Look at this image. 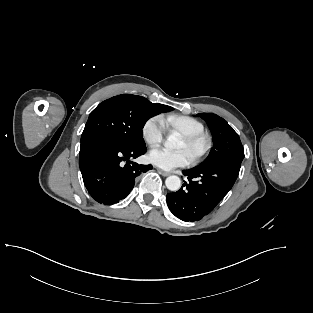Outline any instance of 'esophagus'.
<instances>
[{
  "instance_id": "esophagus-1",
  "label": "esophagus",
  "mask_w": 313,
  "mask_h": 313,
  "mask_svg": "<svg viewBox=\"0 0 313 313\" xmlns=\"http://www.w3.org/2000/svg\"><path fill=\"white\" fill-rule=\"evenodd\" d=\"M158 172L162 175V176H169L171 173H169V172H166V171H163V170H160V169H158Z\"/></svg>"
}]
</instances>
